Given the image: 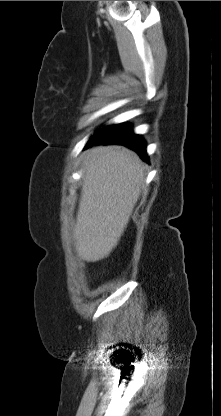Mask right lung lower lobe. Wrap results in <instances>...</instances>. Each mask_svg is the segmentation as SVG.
Wrapping results in <instances>:
<instances>
[{
	"label": "right lung lower lobe",
	"mask_w": 221,
	"mask_h": 416,
	"mask_svg": "<svg viewBox=\"0 0 221 416\" xmlns=\"http://www.w3.org/2000/svg\"><path fill=\"white\" fill-rule=\"evenodd\" d=\"M96 144H121L135 150L142 159L147 160L146 143L133 133L129 124H116L99 130L86 144L88 148Z\"/></svg>",
	"instance_id": "obj_1"
}]
</instances>
